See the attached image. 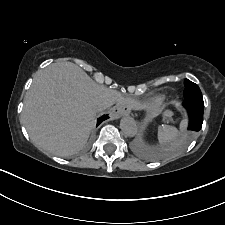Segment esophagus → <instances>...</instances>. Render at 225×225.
Here are the masks:
<instances>
[{"label": "esophagus", "mask_w": 225, "mask_h": 225, "mask_svg": "<svg viewBox=\"0 0 225 225\" xmlns=\"http://www.w3.org/2000/svg\"><path fill=\"white\" fill-rule=\"evenodd\" d=\"M113 112L115 114L116 118H119L121 116L127 115L130 113L129 108L124 104H117V106L114 107Z\"/></svg>", "instance_id": "esophagus-1"}]
</instances>
